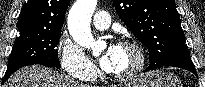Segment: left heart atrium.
<instances>
[{
  "label": "left heart atrium",
  "instance_id": "obj_1",
  "mask_svg": "<svg viewBox=\"0 0 205 87\" xmlns=\"http://www.w3.org/2000/svg\"><path fill=\"white\" fill-rule=\"evenodd\" d=\"M117 46H110L107 50V52L103 55V57L100 60V65L102 69L106 71H111L112 69V58L115 53Z\"/></svg>",
  "mask_w": 205,
  "mask_h": 87
}]
</instances>
